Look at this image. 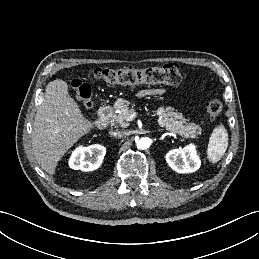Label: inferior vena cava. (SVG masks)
Here are the masks:
<instances>
[{
	"mask_svg": "<svg viewBox=\"0 0 259 259\" xmlns=\"http://www.w3.org/2000/svg\"><path fill=\"white\" fill-rule=\"evenodd\" d=\"M111 134L118 138H122L126 136L125 131H115V132H111Z\"/></svg>",
	"mask_w": 259,
	"mask_h": 259,
	"instance_id": "inferior-vena-cava-1",
	"label": "inferior vena cava"
}]
</instances>
